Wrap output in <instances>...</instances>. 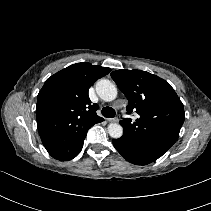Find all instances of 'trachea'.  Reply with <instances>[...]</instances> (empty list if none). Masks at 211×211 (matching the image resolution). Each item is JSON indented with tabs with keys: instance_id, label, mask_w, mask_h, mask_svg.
Returning a JSON list of instances; mask_svg holds the SVG:
<instances>
[{
	"instance_id": "obj_1",
	"label": "trachea",
	"mask_w": 211,
	"mask_h": 211,
	"mask_svg": "<svg viewBox=\"0 0 211 211\" xmlns=\"http://www.w3.org/2000/svg\"><path fill=\"white\" fill-rule=\"evenodd\" d=\"M102 115L106 118H113L116 115V112L111 107H104L102 109Z\"/></svg>"
}]
</instances>
